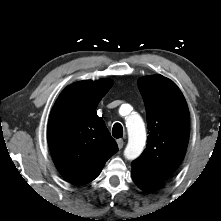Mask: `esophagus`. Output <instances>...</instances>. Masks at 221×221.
<instances>
[{
	"label": "esophagus",
	"mask_w": 221,
	"mask_h": 221,
	"mask_svg": "<svg viewBox=\"0 0 221 221\" xmlns=\"http://www.w3.org/2000/svg\"><path fill=\"white\" fill-rule=\"evenodd\" d=\"M117 145L119 149H122L124 146V141L122 139H118L117 140Z\"/></svg>",
	"instance_id": "obj_1"
}]
</instances>
